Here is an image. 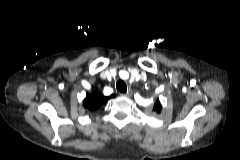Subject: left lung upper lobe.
<instances>
[{
  "mask_svg": "<svg viewBox=\"0 0 240 160\" xmlns=\"http://www.w3.org/2000/svg\"><path fill=\"white\" fill-rule=\"evenodd\" d=\"M161 109H162V106H161V104H160V101L157 100L156 103H155V105H154V111L160 112Z\"/></svg>",
  "mask_w": 240,
  "mask_h": 160,
  "instance_id": "left-lung-upper-lobe-1",
  "label": "left lung upper lobe"
}]
</instances>
